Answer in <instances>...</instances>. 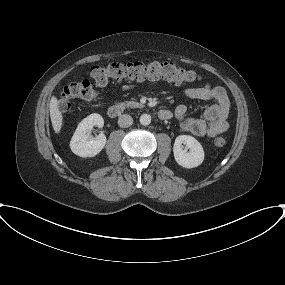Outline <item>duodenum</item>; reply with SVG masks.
Here are the masks:
<instances>
[{
	"label": "duodenum",
	"mask_w": 285,
	"mask_h": 285,
	"mask_svg": "<svg viewBox=\"0 0 285 285\" xmlns=\"http://www.w3.org/2000/svg\"><path fill=\"white\" fill-rule=\"evenodd\" d=\"M125 111V107L121 104H113L107 108V115L110 118H117L121 116ZM158 116L161 120L170 119L172 113L167 109H160L158 111Z\"/></svg>",
	"instance_id": "410a0bca"
}]
</instances>
